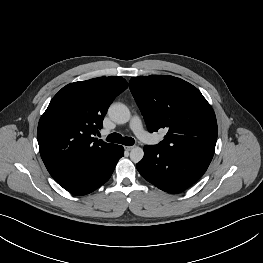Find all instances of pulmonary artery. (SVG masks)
Segmentation results:
<instances>
[{
	"instance_id": "e3ab8cb5",
	"label": "pulmonary artery",
	"mask_w": 263,
	"mask_h": 263,
	"mask_svg": "<svg viewBox=\"0 0 263 263\" xmlns=\"http://www.w3.org/2000/svg\"><path fill=\"white\" fill-rule=\"evenodd\" d=\"M129 127L139 140L144 141L149 137V133L143 128L141 119L138 116L131 119Z\"/></svg>"
}]
</instances>
